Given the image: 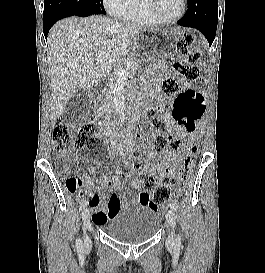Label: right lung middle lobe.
<instances>
[{
    "instance_id": "1",
    "label": "right lung middle lobe",
    "mask_w": 265,
    "mask_h": 273,
    "mask_svg": "<svg viewBox=\"0 0 265 273\" xmlns=\"http://www.w3.org/2000/svg\"><path fill=\"white\" fill-rule=\"evenodd\" d=\"M67 12L76 16L106 14L103 0H44V17Z\"/></svg>"
}]
</instances>
